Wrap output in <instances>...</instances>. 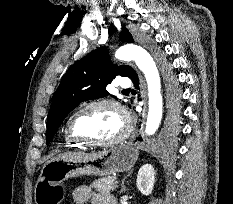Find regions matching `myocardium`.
Returning a JSON list of instances; mask_svg holds the SVG:
<instances>
[{"label": "myocardium", "mask_w": 233, "mask_h": 204, "mask_svg": "<svg viewBox=\"0 0 233 204\" xmlns=\"http://www.w3.org/2000/svg\"><path fill=\"white\" fill-rule=\"evenodd\" d=\"M99 106H108V107L114 108L120 114L123 120V124H124L123 130L121 131V133L118 134L116 137L110 140H107V141H94V140H89L87 138L77 135L74 131V122L76 118L81 113L85 112L86 110L93 108V107H99ZM66 129H67L68 135L72 139L84 145L105 148V147L115 146L128 138L132 130V120H131L130 114L128 113L127 109L120 102L114 99L103 98V99H97V100L90 101L82 105L81 107H79L76 111H74L67 121Z\"/></svg>", "instance_id": "obj_1"}]
</instances>
